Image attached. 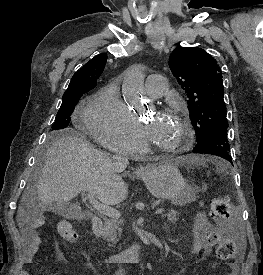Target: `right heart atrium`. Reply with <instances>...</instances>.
Masks as SVG:
<instances>
[{"instance_id": "obj_1", "label": "right heart atrium", "mask_w": 263, "mask_h": 275, "mask_svg": "<svg viewBox=\"0 0 263 275\" xmlns=\"http://www.w3.org/2000/svg\"><path fill=\"white\" fill-rule=\"evenodd\" d=\"M84 124L92 137L109 150L131 153L142 145L140 126L113 87L92 97L85 110Z\"/></svg>"}]
</instances>
